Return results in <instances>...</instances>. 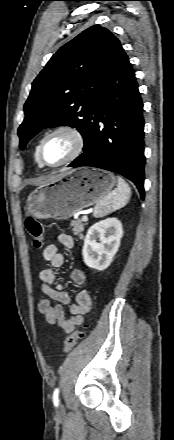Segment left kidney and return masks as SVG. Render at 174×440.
Returning a JSON list of instances; mask_svg holds the SVG:
<instances>
[{
	"mask_svg": "<svg viewBox=\"0 0 174 440\" xmlns=\"http://www.w3.org/2000/svg\"><path fill=\"white\" fill-rule=\"evenodd\" d=\"M122 235V223L117 218H107L92 225L84 240V263L98 271L108 268L118 251Z\"/></svg>",
	"mask_w": 174,
	"mask_h": 440,
	"instance_id": "1",
	"label": "left kidney"
}]
</instances>
